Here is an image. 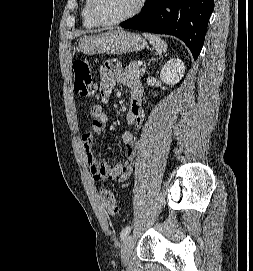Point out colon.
<instances>
[{"instance_id": "1", "label": "colon", "mask_w": 253, "mask_h": 271, "mask_svg": "<svg viewBox=\"0 0 253 271\" xmlns=\"http://www.w3.org/2000/svg\"><path fill=\"white\" fill-rule=\"evenodd\" d=\"M74 91L82 98L93 99L97 96V89L93 83L88 63L84 59H77L72 64ZM102 206L110 215H117L118 208L113 192L108 188L99 190Z\"/></svg>"}]
</instances>
